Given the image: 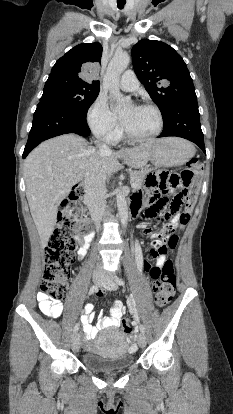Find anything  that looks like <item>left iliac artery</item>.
<instances>
[{"mask_svg": "<svg viewBox=\"0 0 233 414\" xmlns=\"http://www.w3.org/2000/svg\"><path fill=\"white\" fill-rule=\"evenodd\" d=\"M115 281H116V283L118 285H122L123 286L125 284L124 281L121 278H119V277H115ZM134 311H135L136 319L139 320L138 312L136 310L135 304H134ZM139 327H140L141 332L144 333L145 332V329H144L143 325H140Z\"/></svg>", "mask_w": 233, "mask_h": 414, "instance_id": "left-iliac-artery-1", "label": "left iliac artery"}]
</instances>
